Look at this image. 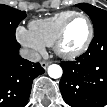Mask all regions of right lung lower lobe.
<instances>
[{
	"label": "right lung lower lobe",
	"instance_id": "1",
	"mask_svg": "<svg viewBox=\"0 0 107 107\" xmlns=\"http://www.w3.org/2000/svg\"><path fill=\"white\" fill-rule=\"evenodd\" d=\"M18 42L0 40V107H24L33 79L44 73L39 63L19 55Z\"/></svg>",
	"mask_w": 107,
	"mask_h": 107
}]
</instances>
